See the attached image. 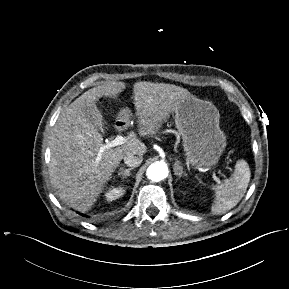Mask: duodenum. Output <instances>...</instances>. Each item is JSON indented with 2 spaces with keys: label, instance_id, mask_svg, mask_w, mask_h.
Returning a JSON list of instances; mask_svg holds the SVG:
<instances>
[{
  "label": "duodenum",
  "instance_id": "obj_1",
  "mask_svg": "<svg viewBox=\"0 0 289 289\" xmlns=\"http://www.w3.org/2000/svg\"><path fill=\"white\" fill-rule=\"evenodd\" d=\"M126 127V122L124 121H118L116 122V128L117 130H123Z\"/></svg>",
  "mask_w": 289,
  "mask_h": 289
}]
</instances>
